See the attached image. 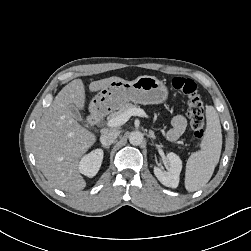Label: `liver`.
I'll list each match as a JSON object with an SVG mask.
<instances>
[{"label": "liver", "instance_id": "liver-1", "mask_svg": "<svg viewBox=\"0 0 251 251\" xmlns=\"http://www.w3.org/2000/svg\"><path fill=\"white\" fill-rule=\"evenodd\" d=\"M116 80L121 78L93 81L89 90L96 92ZM85 101L82 80L71 81L45 110L33 137V153L43 175L54 187L71 193L86 187L78 164L82 155L96 142V135L82 127L69 110L70 106L84 109Z\"/></svg>", "mask_w": 251, "mask_h": 251}]
</instances>
